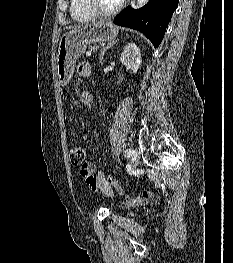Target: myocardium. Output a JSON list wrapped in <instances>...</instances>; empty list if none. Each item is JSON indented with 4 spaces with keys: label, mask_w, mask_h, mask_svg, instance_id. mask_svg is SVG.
<instances>
[{
    "label": "myocardium",
    "mask_w": 233,
    "mask_h": 263,
    "mask_svg": "<svg viewBox=\"0 0 233 263\" xmlns=\"http://www.w3.org/2000/svg\"><path fill=\"white\" fill-rule=\"evenodd\" d=\"M127 0H121V2L111 10H101L95 4L93 0H83L86 9L94 16V17H111L119 13L123 7L125 6Z\"/></svg>",
    "instance_id": "obj_1"
}]
</instances>
